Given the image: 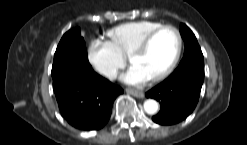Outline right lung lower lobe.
I'll return each mask as SVG.
<instances>
[{
  "instance_id": "1",
  "label": "right lung lower lobe",
  "mask_w": 247,
  "mask_h": 145,
  "mask_svg": "<svg viewBox=\"0 0 247 145\" xmlns=\"http://www.w3.org/2000/svg\"><path fill=\"white\" fill-rule=\"evenodd\" d=\"M51 74L59 109L69 124L89 131L108 122L121 87L95 73L84 59L70 60Z\"/></svg>"
}]
</instances>
